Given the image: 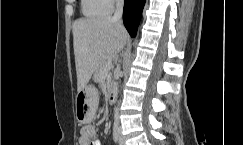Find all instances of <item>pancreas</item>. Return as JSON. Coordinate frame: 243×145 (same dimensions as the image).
Returning <instances> with one entry per match:
<instances>
[{"instance_id":"cf45deb5","label":"pancreas","mask_w":243,"mask_h":145,"mask_svg":"<svg viewBox=\"0 0 243 145\" xmlns=\"http://www.w3.org/2000/svg\"><path fill=\"white\" fill-rule=\"evenodd\" d=\"M106 64H107V60L105 59L100 60L99 65L95 71V81H100L101 77L106 74L104 72V67Z\"/></svg>"}]
</instances>
